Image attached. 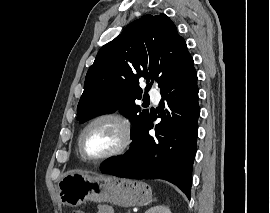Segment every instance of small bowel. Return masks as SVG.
Instances as JSON below:
<instances>
[{
	"label": "small bowel",
	"instance_id": "small-bowel-1",
	"mask_svg": "<svg viewBox=\"0 0 270 213\" xmlns=\"http://www.w3.org/2000/svg\"><path fill=\"white\" fill-rule=\"evenodd\" d=\"M97 213H113V210L110 206L103 205L97 210Z\"/></svg>",
	"mask_w": 270,
	"mask_h": 213
}]
</instances>
